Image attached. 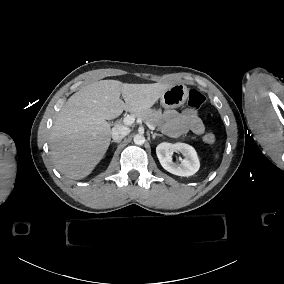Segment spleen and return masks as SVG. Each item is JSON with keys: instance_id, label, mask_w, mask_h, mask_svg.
<instances>
[{"instance_id": "obj_1", "label": "spleen", "mask_w": 284, "mask_h": 284, "mask_svg": "<svg viewBox=\"0 0 284 284\" xmlns=\"http://www.w3.org/2000/svg\"><path fill=\"white\" fill-rule=\"evenodd\" d=\"M220 158V151L216 150L213 155L214 161H217Z\"/></svg>"}]
</instances>
